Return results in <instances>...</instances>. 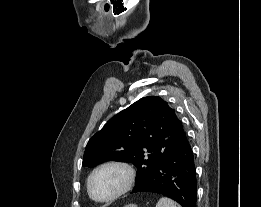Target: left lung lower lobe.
Listing matches in <instances>:
<instances>
[{
  "mask_svg": "<svg viewBox=\"0 0 261 207\" xmlns=\"http://www.w3.org/2000/svg\"><path fill=\"white\" fill-rule=\"evenodd\" d=\"M196 189L194 155L184 132L177 148L138 182L131 193H157L175 200L182 207H196Z\"/></svg>",
  "mask_w": 261,
  "mask_h": 207,
  "instance_id": "0a47b994",
  "label": "left lung lower lobe"
}]
</instances>
